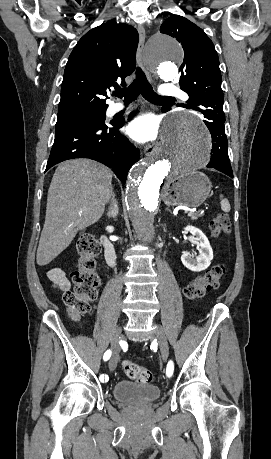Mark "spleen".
<instances>
[{
    "instance_id": "1",
    "label": "spleen",
    "mask_w": 271,
    "mask_h": 459,
    "mask_svg": "<svg viewBox=\"0 0 271 459\" xmlns=\"http://www.w3.org/2000/svg\"><path fill=\"white\" fill-rule=\"evenodd\" d=\"M221 198V210H223V212H230L231 210V206L228 202V200H226V198H223V196H220Z\"/></svg>"
}]
</instances>
